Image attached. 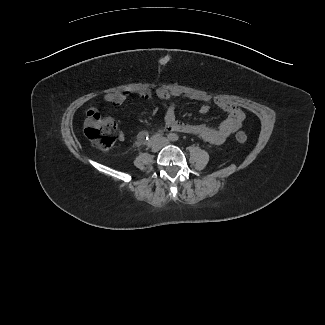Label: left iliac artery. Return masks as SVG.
<instances>
[{
    "label": "left iliac artery",
    "instance_id": "obj_1",
    "mask_svg": "<svg viewBox=\"0 0 325 325\" xmlns=\"http://www.w3.org/2000/svg\"><path fill=\"white\" fill-rule=\"evenodd\" d=\"M168 138L171 140V141H177L178 140V136L174 133H170L168 135Z\"/></svg>",
    "mask_w": 325,
    "mask_h": 325
}]
</instances>
